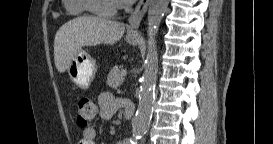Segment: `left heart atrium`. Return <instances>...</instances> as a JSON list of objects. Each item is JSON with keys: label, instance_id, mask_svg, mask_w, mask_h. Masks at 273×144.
Instances as JSON below:
<instances>
[{"label": "left heart atrium", "instance_id": "left-heart-atrium-1", "mask_svg": "<svg viewBox=\"0 0 273 144\" xmlns=\"http://www.w3.org/2000/svg\"><path fill=\"white\" fill-rule=\"evenodd\" d=\"M114 4L118 7H125L134 2V0H113Z\"/></svg>", "mask_w": 273, "mask_h": 144}]
</instances>
